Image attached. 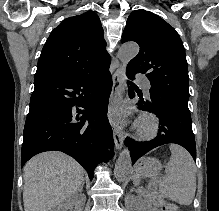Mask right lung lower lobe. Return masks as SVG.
Instances as JSON below:
<instances>
[{"mask_svg": "<svg viewBox=\"0 0 219 211\" xmlns=\"http://www.w3.org/2000/svg\"><path fill=\"white\" fill-rule=\"evenodd\" d=\"M108 69L109 64L89 73L35 76L21 166L40 152L57 150L76 159L92 179L97 164L113 156L106 117L112 89Z\"/></svg>", "mask_w": 219, "mask_h": 211, "instance_id": "1", "label": "right lung lower lobe"}]
</instances>
